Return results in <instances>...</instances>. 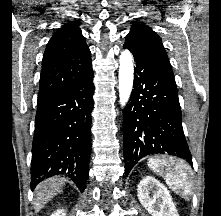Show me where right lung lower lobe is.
Returning a JSON list of instances; mask_svg holds the SVG:
<instances>
[{
    "label": "right lung lower lobe",
    "mask_w": 221,
    "mask_h": 216,
    "mask_svg": "<svg viewBox=\"0 0 221 216\" xmlns=\"http://www.w3.org/2000/svg\"><path fill=\"white\" fill-rule=\"evenodd\" d=\"M93 72L37 104L32 146L31 189L58 174L86 188L91 153Z\"/></svg>",
    "instance_id": "obj_1"
}]
</instances>
